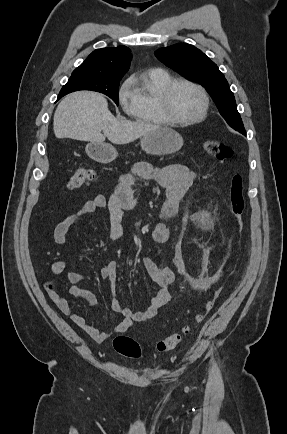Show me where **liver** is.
I'll use <instances>...</instances> for the list:
<instances>
[{
	"mask_svg": "<svg viewBox=\"0 0 287 434\" xmlns=\"http://www.w3.org/2000/svg\"><path fill=\"white\" fill-rule=\"evenodd\" d=\"M160 128L142 121L116 119L109 111L105 97L91 91L66 96L59 103L53 119L57 138L94 143H103L107 137L112 143L127 144Z\"/></svg>",
	"mask_w": 287,
	"mask_h": 434,
	"instance_id": "liver-1",
	"label": "liver"
}]
</instances>
